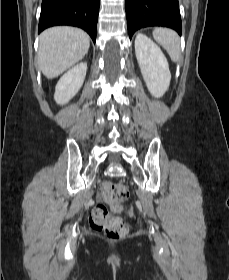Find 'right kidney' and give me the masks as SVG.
<instances>
[{
    "label": "right kidney",
    "mask_w": 229,
    "mask_h": 280,
    "mask_svg": "<svg viewBox=\"0 0 229 280\" xmlns=\"http://www.w3.org/2000/svg\"><path fill=\"white\" fill-rule=\"evenodd\" d=\"M87 72V63H79L67 71L55 87L54 99L56 103H68L80 90Z\"/></svg>",
    "instance_id": "obj_1"
}]
</instances>
